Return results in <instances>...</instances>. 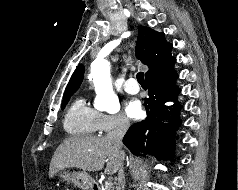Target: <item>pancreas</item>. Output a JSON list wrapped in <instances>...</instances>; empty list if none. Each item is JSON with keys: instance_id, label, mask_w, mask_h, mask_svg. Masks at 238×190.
Returning a JSON list of instances; mask_svg holds the SVG:
<instances>
[{"instance_id": "pancreas-1", "label": "pancreas", "mask_w": 238, "mask_h": 190, "mask_svg": "<svg viewBox=\"0 0 238 190\" xmlns=\"http://www.w3.org/2000/svg\"><path fill=\"white\" fill-rule=\"evenodd\" d=\"M102 190H114V189H113V187H112V186H111V187H106V186H105V188H104V189H102Z\"/></svg>"}]
</instances>
